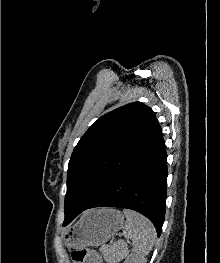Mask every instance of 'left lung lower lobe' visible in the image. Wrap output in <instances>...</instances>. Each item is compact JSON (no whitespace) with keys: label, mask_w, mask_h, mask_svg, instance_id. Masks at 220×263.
<instances>
[{"label":"left lung lower lobe","mask_w":220,"mask_h":263,"mask_svg":"<svg viewBox=\"0 0 220 263\" xmlns=\"http://www.w3.org/2000/svg\"><path fill=\"white\" fill-rule=\"evenodd\" d=\"M166 180L167 154L161 131L86 209L119 207L135 210L154 224L159 237L165 217ZM82 211L67 212L63 226Z\"/></svg>","instance_id":"left-lung-lower-lobe-1"}]
</instances>
